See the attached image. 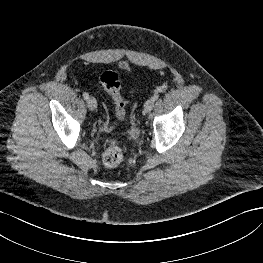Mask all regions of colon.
Instances as JSON below:
<instances>
[{"label":"colon","instance_id":"5ec220e1","mask_svg":"<svg viewBox=\"0 0 263 263\" xmlns=\"http://www.w3.org/2000/svg\"><path fill=\"white\" fill-rule=\"evenodd\" d=\"M99 80L104 90L113 100L117 118L122 120L125 116L127 102L121 94V83L118 75L112 70H106L100 75ZM123 158L124 150L122 145L116 140H111L103 152V163L107 167H117L121 164Z\"/></svg>","mask_w":263,"mask_h":263}]
</instances>
